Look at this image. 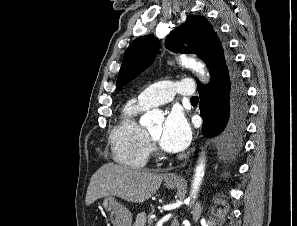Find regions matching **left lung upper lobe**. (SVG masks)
<instances>
[{"label":"left lung upper lobe","mask_w":297,"mask_h":226,"mask_svg":"<svg viewBox=\"0 0 297 226\" xmlns=\"http://www.w3.org/2000/svg\"><path fill=\"white\" fill-rule=\"evenodd\" d=\"M165 46L173 52L196 53L206 63L212 77L226 70L231 60L213 27L199 15L188 17L184 24L173 30L167 36ZM158 49V40L153 35L131 42L123 58L116 88L126 85L150 65Z\"/></svg>","instance_id":"left-lung-upper-lobe-1"}]
</instances>
